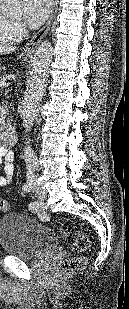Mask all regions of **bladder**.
<instances>
[{
    "label": "bladder",
    "mask_w": 129,
    "mask_h": 309,
    "mask_svg": "<svg viewBox=\"0 0 129 309\" xmlns=\"http://www.w3.org/2000/svg\"><path fill=\"white\" fill-rule=\"evenodd\" d=\"M0 246L3 251L22 259H32L58 246L56 233L50 227L22 213L0 218Z\"/></svg>",
    "instance_id": "1"
}]
</instances>
